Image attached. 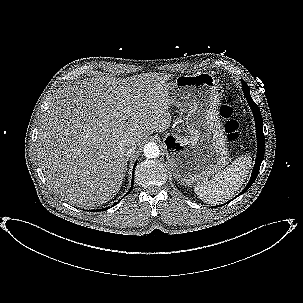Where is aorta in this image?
Here are the masks:
<instances>
[{
	"label": "aorta",
	"mask_w": 303,
	"mask_h": 303,
	"mask_svg": "<svg viewBox=\"0 0 303 303\" xmlns=\"http://www.w3.org/2000/svg\"><path fill=\"white\" fill-rule=\"evenodd\" d=\"M143 152L146 158H157L160 155L159 146L155 142H148L144 145Z\"/></svg>",
	"instance_id": "762f6f07"
}]
</instances>
